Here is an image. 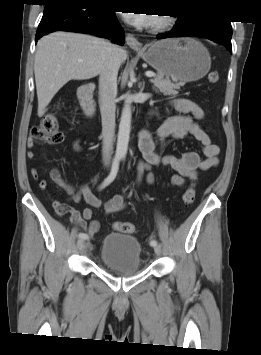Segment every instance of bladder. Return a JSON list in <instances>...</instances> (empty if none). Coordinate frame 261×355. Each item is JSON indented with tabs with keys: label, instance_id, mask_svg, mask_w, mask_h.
Wrapping results in <instances>:
<instances>
[{
	"label": "bladder",
	"instance_id": "obj_1",
	"mask_svg": "<svg viewBox=\"0 0 261 355\" xmlns=\"http://www.w3.org/2000/svg\"><path fill=\"white\" fill-rule=\"evenodd\" d=\"M100 259L113 272L134 274L141 270V245L132 235L108 233L102 243Z\"/></svg>",
	"mask_w": 261,
	"mask_h": 355
}]
</instances>
